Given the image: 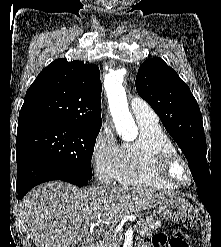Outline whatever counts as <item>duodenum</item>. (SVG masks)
<instances>
[{
	"label": "duodenum",
	"mask_w": 221,
	"mask_h": 247,
	"mask_svg": "<svg viewBox=\"0 0 221 247\" xmlns=\"http://www.w3.org/2000/svg\"><path fill=\"white\" fill-rule=\"evenodd\" d=\"M86 247H97V241L94 238L89 237L86 241Z\"/></svg>",
	"instance_id": "1"
}]
</instances>
